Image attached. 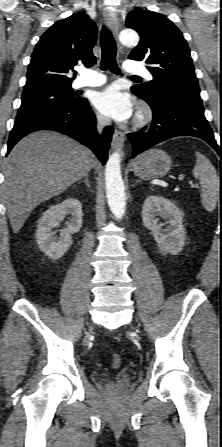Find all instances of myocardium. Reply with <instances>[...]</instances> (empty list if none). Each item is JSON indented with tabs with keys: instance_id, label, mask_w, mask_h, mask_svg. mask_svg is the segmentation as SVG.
<instances>
[{
	"instance_id": "f54148a6",
	"label": "myocardium",
	"mask_w": 222,
	"mask_h": 447,
	"mask_svg": "<svg viewBox=\"0 0 222 447\" xmlns=\"http://www.w3.org/2000/svg\"><path fill=\"white\" fill-rule=\"evenodd\" d=\"M150 118V111L147 108L140 110L137 118L138 125L144 124Z\"/></svg>"
}]
</instances>
